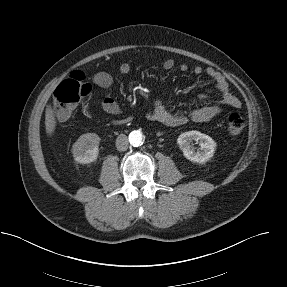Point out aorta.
<instances>
[{"label": "aorta", "instance_id": "762f6f07", "mask_svg": "<svg viewBox=\"0 0 287 287\" xmlns=\"http://www.w3.org/2000/svg\"><path fill=\"white\" fill-rule=\"evenodd\" d=\"M142 133L140 131H133L129 135V141L134 146H139L142 143Z\"/></svg>", "mask_w": 287, "mask_h": 287}]
</instances>
